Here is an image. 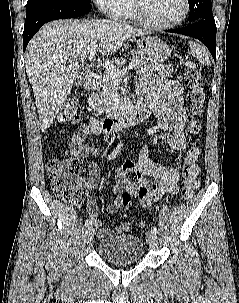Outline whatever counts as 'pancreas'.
Wrapping results in <instances>:
<instances>
[{"instance_id":"obj_1","label":"pancreas","mask_w":239,"mask_h":303,"mask_svg":"<svg viewBox=\"0 0 239 303\" xmlns=\"http://www.w3.org/2000/svg\"><path fill=\"white\" fill-rule=\"evenodd\" d=\"M133 55V60L139 62V65L135 67L138 73L153 75L157 73L160 78L172 77L171 73L173 68L170 65H161L151 61L150 59L144 57L140 52L131 51ZM123 58L120 57L113 62L114 66L119 69L123 63ZM115 79L106 70L101 74L100 79L97 83L96 93H93L90 99V105L97 113L101 115L102 113H112L115 112V101L114 97L118 94L119 87L115 85Z\"/></svg>"}]
</instances>
